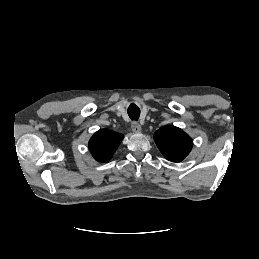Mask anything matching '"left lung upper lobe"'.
Listing matches in <instances>:
<instances>
[{"instance_id": "5c2ea615", "label": "left lung upper lobe", "mask_w": 259, "mask_h": 259, "mask_svg": "<svg viewBox=\"0 0 259 259\" xmlns=\"http://www.w3.org/2000/svg\"><path fill=\"white\" fill-rule=\"evenodd\" d=\"M154 141L164 157L172 162L182 161L193 146L190 136L175 126L161 127L155 132Z\"/></svg>"}]
</instances>
